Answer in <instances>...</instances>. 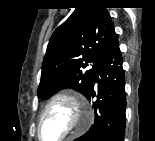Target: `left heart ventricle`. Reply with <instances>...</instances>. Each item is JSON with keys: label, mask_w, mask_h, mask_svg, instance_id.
<instances>
[{"label": "left heart ventricle", "mask_w": 155, "mask_h": 141, "mask_svg": "<svg viewBox=\"0 0 155 141\" xmlns=\"http://www.w3.org/2000/svg\"><path fill=\"white\" fill-rule=\"evenodd\" d=\"M71 108L66 103H58L48 110L41 124V135L45 141L60 138L72 127Z\"/></svg>", "instance_id": "1"}]
</instances>
